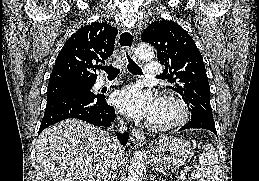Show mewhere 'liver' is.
<instances>
[{"instance_id":"6515ba94","label":"liver","mask_w":259,"mask_h":181,"mask_svg":"<svg viewBox=\"0 0 259 181\" xmlns=\"http://www.w3.org/2000/svg\"><path fill=\"white\" fill-rule=\"evenodd\" d=\"M36 150V181H106L113 155L125 161L117 140L78 119L45 129Z\"/></svg>"}]
</instances>
